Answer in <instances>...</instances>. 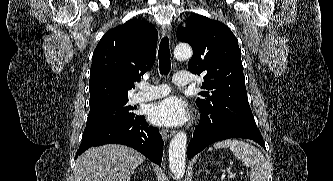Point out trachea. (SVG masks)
Segmentation results:
<instances>
[{"mask_svg": "<svg viewBox=\"0 0 333 181\" xmlns=\"http://www.w3.org/2000/svg\"><path fill=\"white\" fill-rule=\"evenodd\" d=\"M158 57H159L160 74L168 75V73L170 72V69H171L170 48H169L168 37L162 38L160 45H159Z\"/></svg>", "mask_w": 333, "mask_h": 181, "instance_id": "obj_1", "label": "trachea"}]
</instances>
